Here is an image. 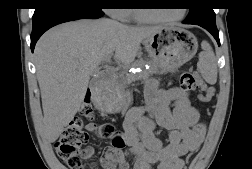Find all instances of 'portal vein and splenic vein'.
<instances>
[{
	"mask_svg": "<svg viewBox=\"0 0 252 169\" xmlns=\"http://www.w3.org/2000/svg\"><path fill=\"white\" fill-rule=\"evenodd\" d=\"M111 57H112V55H107V56H105V57L103 58V61H104V62H110V61H111Z\"/></svg>",
	"mask_w": 252,
	"mask_h": 169,
	"instance_id": "obj_1",
	"label": "portal vein and splenic vein"
}]
</instances>
